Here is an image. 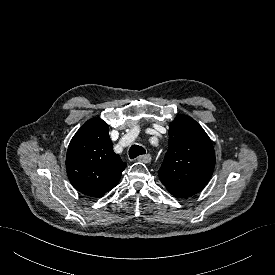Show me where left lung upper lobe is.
I'll return each instance as SVG.
<instances>
[{
    "instance_id": "left-lung-upper-lobe-1",
    "label": "left lung upper lobe",
    "mask_w": 275,
    "mask_h": 275,
    "mask_svg": "<svg viewBox=\"0 0 275 275\" xmlns=\"http://www.w3.org/2000/svg\"><path fill=\"white\" fill-rule=\"evenodd\" d=\"M215 166L212 142L191 117L179 114L169 127V148L158 171L176 198L192 196L210 180Z\"/></svg>"
}]
</instances>
